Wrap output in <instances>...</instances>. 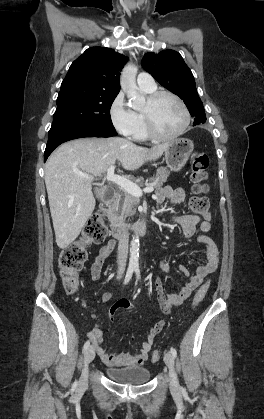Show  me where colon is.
<instances>
[{"instance_id":"obj_1","label":"colon","mask_w":264,"mask_h":419,"mask_svg":"<svg viewBox=\"0 0 264 419\" xmlns=\"http://www.w3.org/2000/svg\"><path fill=\"white\" fill-rule=\"evenodd\" d=\"M191 165V182L193 197L190 205L194 212L203 214L208 211L209 203L204 196L208 191L206 184L207 169L209 166L208 156L201 151H194L190 157ZM107 235V225L103 214H93L85 224L79 240L72 242L65 247L59 255V268L61 279L65 290L72 294L78 290V273L82 269L86 259L87 251L86 244L101 243L105 240ZM209 283H204L197 291L193 306H197L205 297ZM160 353L154 351L151 356L152 362L158 361Z\"/></svg>"}]
</instances>
